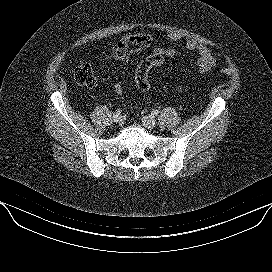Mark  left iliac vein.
Segmentation results:
<instances>
[{"mask_svg": "<svg viewBox=\"0 0 272 272\" xmlns=\"http://www.w3.org/2000/svg\"><path fill=\"white\" fill-rule=\"evenodd\" d=\"M142 122L147 129H154L157 125L155 118L151 115L143 116Z\"/></svg>", "mask_w": 272, "mask_h": 272, "instance_id": "4c4485c4", "label": "left iliac vein"}]
</instances>
